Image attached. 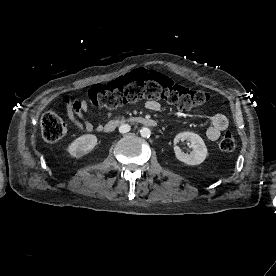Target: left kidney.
I'll return each instance as SVG.
<instances>
[{
  "label": "left kidney",
  "mask_w": 276,
  "mask_h": 276,
  "mask_svg": "<svg viewBox=\"0 0 276 276\" xmlns=\"http://www.w3.org/2000/svg\"><path fill=\"white\" fill-rule=\"evenodd\" d=\"M187 140L192 148L190 154L184 153L181 149L176 146L179 141ZM174 151L176 158L181 162L188 165H199L207 157L208 151L203 139L196 133L193 132H182L176 135L174 138Z\"/></svg>",
  "instance_id": "5707ae66"
}]
</instances>
